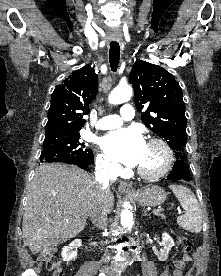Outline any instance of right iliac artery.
Listing matches in <instances>:
<instances>
[{
  "mask_svg": "<svg viewBox=\"0 0 221 276\" xmlns=\"http://www.w3.org/2000/svg\"><path fill=\"white\" fill-rule=\"evenodd\" d=\"M99 276H105V274H100Z\"/></svg>",
  "mask_w": 221,
  "mask_h": 276,
  "instance_id": "1",
  "label": "right iliac artery"
}]
</instances>
